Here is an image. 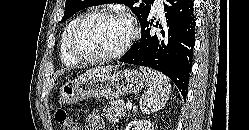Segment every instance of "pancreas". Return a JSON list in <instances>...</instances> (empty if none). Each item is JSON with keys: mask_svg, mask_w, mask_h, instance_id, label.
Listing matches in <instances>:
<instances>
[{"mask_svg": "<svg viewBox=\"0 0 249 130\" xmlns=\"http://www.w3.org/2000/svg\"><path fill=\"white\" fill-rule=\"evenodd\" d=\"M103 112L106 113V119L114 124L126 114V107L123 100H113L109 105L104 106Z\"/></svg>", "mask_w": 249, "mask_h": 130, "instance_id": "1", "label": "pancreas"}]
</instances>
